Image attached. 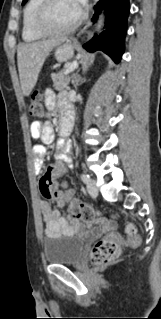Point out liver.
I'll use <instances>...</instances> for the list:
<instances>
[{
	"mask_svg": "<svg viewBox=\"0 0 161 319\" xmlns=\"http://www.w3.org/2000/svg\"><path fill=\"white\" fill-rule=\"evenodd\" d=\"M60 43L51 39L34 43H22L17 48V62L21 88L29 96L37 83L39 72L49 52Z\"/></svg>",
	"mask_w": 161,
	"mask_h": 319,
	"instance_id": "liver-1",
	"label": "liver"
}]
</instances>
